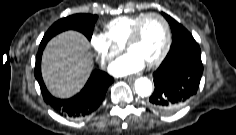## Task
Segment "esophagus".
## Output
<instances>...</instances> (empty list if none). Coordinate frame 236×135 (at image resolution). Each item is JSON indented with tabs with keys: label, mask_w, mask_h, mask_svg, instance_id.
<instances>
[{
	"label": "esophagus",
	"mask_w": 236,
	"mask_h": 135,
	"mask_svg": "<svg viewBox=\"0 0 236 135\" xmlns=\"http://www.w3.org/2000/svg\"><path fill=\"white\" fill-rule=\"evenodd\" d=\"M125 79H126L127 81H133V80H135V77L130 76V77H126Z\"/></svg>",
	"instance_id": "obj_1"
}]
</instances>
